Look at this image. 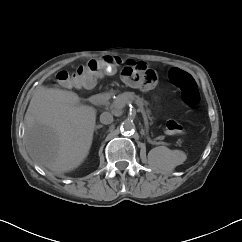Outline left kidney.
<instances>
[{"label": "left kidney", "instance_id": "1", "mask_svg": "<svg viewBox=\"0 0 242 242\" xmlns=\"http://www.w3.org/2000/svg\"><path fill=\"white\" fill-rule=\"evenodd\" d=\"M159 147L154 148L153 150H151L150 154H155V155H159ZM176 155L178 157V160L176 162L175 165H173V167H175L176 165H180L183 163V161L185 160V154L183 152L180 151H176Z\"/></svg>", "mask_w": 242, "mask_h": 242}]
</instances>
